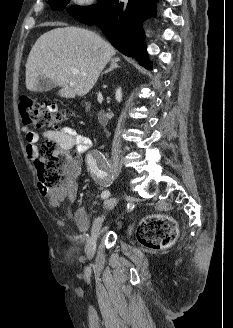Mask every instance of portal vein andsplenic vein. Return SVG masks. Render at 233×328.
I'll use <instances>...</instances> for the list:
<instances>
[{"instance_id": "portal-vein-and-splenic-vein-1", "label": "portal vein and splenic vein", "mask_w": 233, "mask_h": 328, "mask_svg": "<svg viewBox=\"0 0 233 328\" xmlns=\"http://www.w3.org/2000/svg\"><path fill=\"white\" fill-rule=\"evenodd\" d=\"M71 71H72V73H74V74H77V73H79V70H78V69H76V68H71Z\"/></svg>"}]
</instances>
